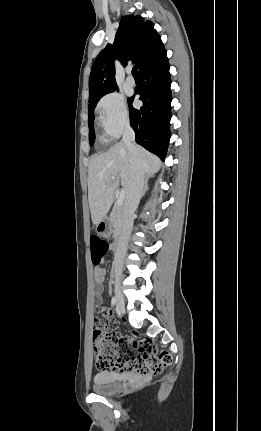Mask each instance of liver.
<instances>
[{
    "label": "liver",
    "instance_id": "obj_1",
    "mask_svg": "<svg viewBox=\"0 0 261 431\" xmlns=\"http://www.w3.org/2000/svg\"><path fill=\"white\" fill-rule=\"evenodd\" d=\"M144 174L152 175L161 166V161L141 146H137ZM88 201L94 225L105 218L111 208L115 191L121 186L128 190L132 179L130 152L123 142L112 146L105 153L93 157L88 170ZM114 177V179H112Z\"/></svg>",
    "mask_w": 261,
    "mask_h": 431
}]
</instances>
